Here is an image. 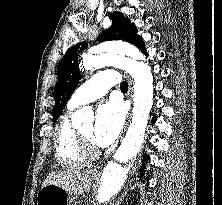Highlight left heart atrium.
Here are the masks:
<instances>
[{
    "label": "left heart atrium",
    "mask_w": 222,
    "mask_h": 205,
    "mask_svg": "<svg viewBox=\"0 0 222 205\" xmlns=\"http://www.w3.org/2000/svg\"><path fill=\"white\" fill-rule=\"evenodd\" d=\"M124 109L119 101L111 100L98 107L93 130V140L99 146L112 144L124 125Z\"/></svg>",
    "instance_id": "39dd6f15"
}]
</instances>
